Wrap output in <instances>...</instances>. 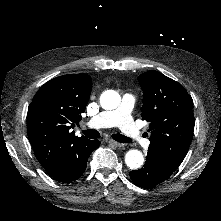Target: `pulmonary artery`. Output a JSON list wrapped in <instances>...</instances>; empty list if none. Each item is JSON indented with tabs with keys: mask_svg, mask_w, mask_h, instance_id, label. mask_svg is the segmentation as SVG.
<instances>
[{
	"mask_svg": "<svg viewBox=\"0 0 221 221\" xmlns=\"http://www.w3.org/2000/svg\"><path fill=\"white\" fill-rule=\"evenodd\" d=\"M120 109L113 107L105 111L93 112L88 119L92 128L111 127L119 124L122 134L129 139L138 135L139 129L131 119V110L136 107L137 102L133 96L127 95L121 99Z\"/></svg>",
	"mask_w": 221,
	"mask_h": 221,
	"instance_id": "pulmonary-artery-1",
	"label": "pulmonary artery"
}]
</instances>
